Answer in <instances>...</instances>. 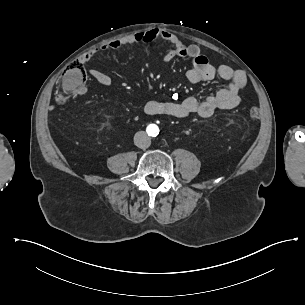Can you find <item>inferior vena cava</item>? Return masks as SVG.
<instances>
[{"instance_id": "1", "label": "inferior vena cava", "mask_w": 305, "mask_h": 305, "mask_svg": "<svg viewBox=\"0 0 305 305\" xmlns=\"http://www.w3.org/2000/svg\"><path fill=\"white\" fill-rule=\"evenodd\" d=\"M151 143L150 137L144 131H138L134 135V144L139 148H147Z\"/></svg>"}]
</instances>
